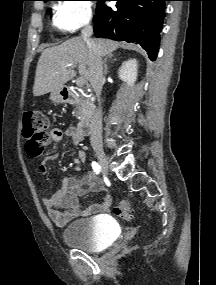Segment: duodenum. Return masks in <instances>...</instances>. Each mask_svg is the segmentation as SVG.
<instances>
[{"label":"duodenum","instance_id":"duodenum-1","mask_svg":"<svg viewBox=\"0 0 216 285\" xmlns=\"http://www.w3.org/2000/svg\"><path fill=\"white\" fill-rule=\"evenodd\" d=\"M61 95L66 102H74L76 100V94L69 88H64L61 91ZM86 100L87 108L78 124V129L83 135H89L93 131L96 119V105L94 98L90 95H86Z\"/></svg>","mask_w":216,"mask_h":285}]
</instances>
